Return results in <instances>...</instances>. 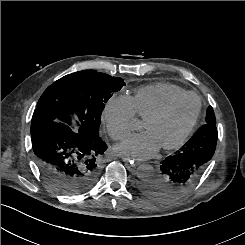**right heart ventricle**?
I'll use <instances>...</instances> for the list:
<instances>
[{"instance_id":"right-heart-ventricle-1","label":"right heart ventricle","mask_w":245,"mask_h":245,"mask_svg":"<svg viewBox=\"0 0 245 245\" xmlns=\"http://www.w3.org/2000/svg\"><path fill=\"white\" fill-rule=\"evenodd\" d=\"M184 89L168 83H156L135 91L132 100L136 114L145 120L169 100L186 94Z\"/></svg>"}]
</instances>
